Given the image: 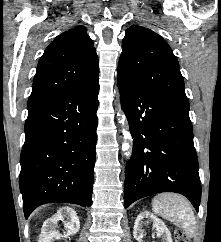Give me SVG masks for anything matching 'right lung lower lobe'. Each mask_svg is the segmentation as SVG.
<instances>
[{
  "mask_svg": "<svg viewBox=\"0 0 221 242\" xmlns=\"http://www.w3.org/2000/svg\"><path fill=\"white\" fill-rule=\"evenodd\" d=\"M99 74L60 96L28 103L20 190L25 217L45 203L92 204Z\"/></svg>",
  "mask_w": 221,
  "mask_h": 242,
  "instance_id": "right-lung-lower-lobe-1",
  "label": "right lung lower lobe"
}]
</instances>
